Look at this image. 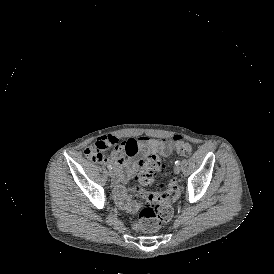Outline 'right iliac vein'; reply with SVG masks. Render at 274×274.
Instances as JSON below:
<instances>
[{
	"label": "right iliac vein",
	"instance_id": "63e3f726",
	"mask_svg": "<svg viewBox=\"0 0 274 274\" xmlns=\"http://www.w3.org/2000/svg\"><path fill=\"white\" fill-rule=\"evenodd\" d=\"M108 175L112 179V182L114 183L116 181L114 172L113 171H109Z\"/></svg>",
	"mask_w": 274,
	"mask_h": 274
}]
</instances>
